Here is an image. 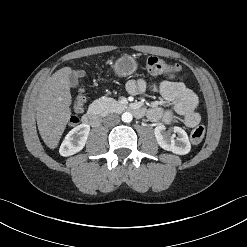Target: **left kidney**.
I'll list each match as a JSON object with an SVG mask.
<instances>
[{
    "instance_id": "1",
    "label": "left kidney",
    "mask_w": 247,
    "mask_h": 247,
    "mask_svg": "<svg viewBox=\"0 0 247 247\" xmlns=\"http://www.w3.org/2000/svg\"><path fill=\"white\" fill-rule=\"evenodd\" d=\"M173 131L176 135H170L166 132V127L164 125H157L154 129L157 143L164 150L171 151L174 154H188L191 150V144L187 133L180 127H174Z\"/></svg>"
}]
</instances>
